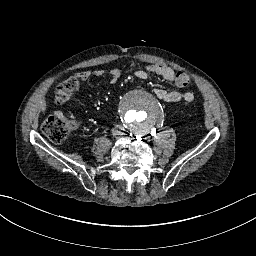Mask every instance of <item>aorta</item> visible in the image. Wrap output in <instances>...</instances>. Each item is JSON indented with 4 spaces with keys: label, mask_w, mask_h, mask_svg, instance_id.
Masks as SVG:
<instances>
[{
    "label": "aorta",
    "mask_w": 256,
    "mask_h": 256,
    "mask_svg": "<svg viewBox=\"0 0 256 256\" xmlns=\"http://www.w3.org/2000/svg\"><path fill=\"white\" fill-rule=\"evenodd\" d=\"M121 113L129 125L136 128H145L157 120L160 113V104L152 92L145 89H136L124 97L121 104Z\"/></svg>",
    "instance_id": "762f6f07"
}]
</instances>
